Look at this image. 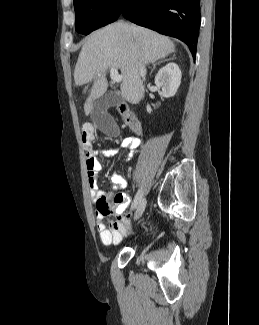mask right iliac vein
<instances>
[{
  "label": "right iliac vein",
  "mask_w": 259,
  "mask_h": 325,
  "mask_svg": "<svg viewBox=\"0 0 259 325\" xmlns=\"http://www.w3.org/2000/svg\"><path fill=\"white\" fill-rule=\"evenodd\" d=\"M145 207H146V199H145V197L141 196V198L136 206V211H135V215H134L135 220L139 219L142 216V214L145 210Z\"/></svg>",
  "instance_id": "1"
}]
</instances>
